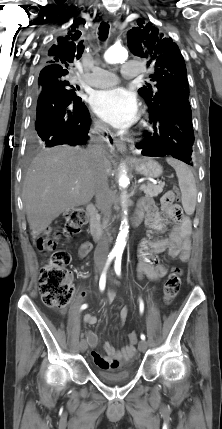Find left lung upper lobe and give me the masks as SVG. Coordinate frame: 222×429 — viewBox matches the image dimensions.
<instances>
[{
    "instance_id": "1",
    "label": "left lung upper lobe",
    "mask_w": 222,
    "mask_h": 429,
    "mask_svg": "<svg viewBox=\"0 0 222 429\" xmlns=\"http://www.w3.org/2000/svg\"><path fill=\"white\" fill-rule=\"evenodd\" d=\"M127 42L131 52L152 62L155 73L150 76L157 84L139 89L150 110H157L162 102L170 96L189 97L184 58L171 38H164L163 34L152 25L138 20V26L127 33Z\"/></svg>"
}]
</instances>
